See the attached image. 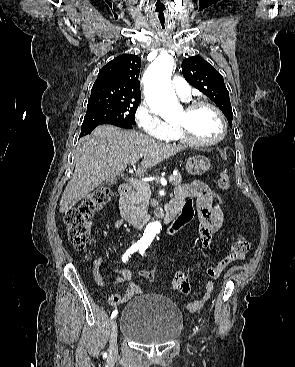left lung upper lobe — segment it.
Instances as JSON below:
<instances>
[{
	"label": "left lung upper lobe",
	"instance_id": "1",
	"mask_svg": "<svg viewBox=\"0 0 295 367\" xmlns=\"http://www.w3.org/2000/svg\"><path fill=\"white\" fill-rule=\"evenodd\" d=\"M182 72L190 85L209 97L221 109L232 127L233 113L223 76L198 56L185 58Z\"/></svg>",
	"mask_w": 295,
	"mask_h": 367
}]
</instances>
